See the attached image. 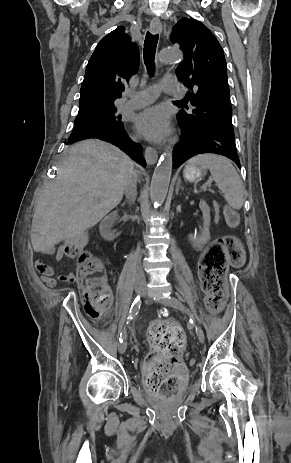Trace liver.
Listing matches in <instances>:
<instances>
[{
  "instance_id": "1",
  "label": "liver",
  "mask_w": 291,
  "mask_h": 463,
  "mask_svg": "<svg viewBox=\"0 0 291 463\" xmlns=\"http://www.w3.org/2000/svg\"><path fill=\"white\" fill-rule=\"evenodd\" d=\"M133 172V161L109 143L88 139L71 146L37 200L33 249L53 254L56 244L95 226L121 202Z\"/></svg>"
}]
</instances>
